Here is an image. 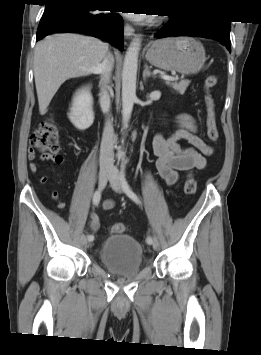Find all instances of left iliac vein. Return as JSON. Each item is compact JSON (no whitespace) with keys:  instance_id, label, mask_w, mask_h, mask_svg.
Here are the masks:
<instances>
[{"instance_id":"left-iliac-vein-1","label":"left iliac vein","mask_w":261,"mask_h":355,"mask_svg":"<svg viewBox=\"0 0 261 355\" xmlns=\"http://www.w3.org/2000/svg\"><path fill=\"white\" fill-rule=\"evenodd\" d=\"M109 182L111 184V187L113 188L114 191L121 193L122 192V188H121V176L119 174V171L117 169V167L113 166L111 169V175L109 177ZM152 246L154 249H158V241L157 239L153 240Z\"/></svg>"}]
</instances>
